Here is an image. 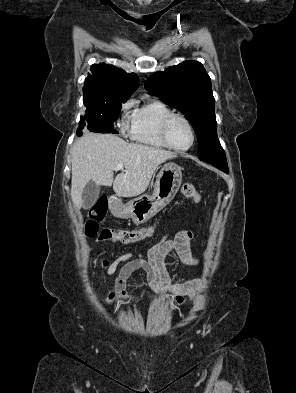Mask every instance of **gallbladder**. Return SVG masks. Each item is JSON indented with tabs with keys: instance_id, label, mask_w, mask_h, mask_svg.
I'll use <instances>...</instances> for the list:
<instances>
[{
	"instance_id": "gallbladder-1",
	"label": "gallbladder",
	"mask_w": 296,
	"mask_h": 393,
	"mask_svg": "<svg viewBox=\"0 0 296 393\" xmlns=\"http://www.w3.org/2000/svg\"><path fill=\"white\" fill-rule=\"evenodd\" d=\"M100 194V187L90 181L82 192V206L84 209L91 208L97 201Z\"/></svg>"
}]
</instances>
